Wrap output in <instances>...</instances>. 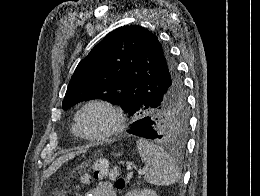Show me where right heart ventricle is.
<instances>
[{"mask_svg": "<svg viewBox=\"0 0 260 196\" xmlns=\"http://www.w3.org/2000/svg\"><path fill=\"white\" fill-rule=\"evenodd\" d=\"M72 132H73L74 136L78 137V135L76 134V132L74 131V129H72Z\"/></svg>", "mask_w": 260, "mask_h": 196, "instance_id": "right-heart-ventricle-1", "label": "right heart ventricle"}]
</instances>
